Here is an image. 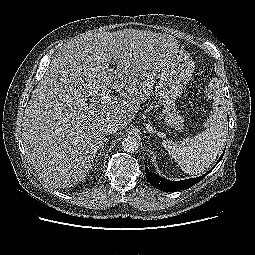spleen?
<instances>
[{
    "instance_id": "3e777b00",
    "label": "spleen",
    "mask_w": 255,
    "mask_h": 255,
    "mask_svg": "<svg viewBox=\"0 0 255 255\" xmlns=\"http://www.w3.org/2000/svg\"><path fill=\"white\" fill-rule=\"evenodd\" d=\"M227 127L222 112H216L208 128L198 135L189 138L187 145L164 140L162 142L169 155L178 163L182 171L197 175L215 162L224 146Z\"/></svg>"
}]
</instances>
